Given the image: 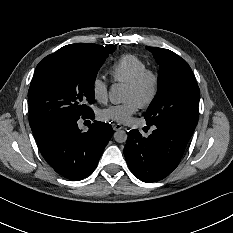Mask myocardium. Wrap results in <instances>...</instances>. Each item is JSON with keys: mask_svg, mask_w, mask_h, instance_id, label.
Segmentation results:
<instances>
[{"mask_svg": "<svg viewBox=\"0 0 233 233\" xmlns=\"http://www.w3.org/2000/svg\"><path fill=\"white\" fill-rule=\"evenodd\" d=\"M147 80H150L151 84L149 93L141 104L143 107L150 105L158 94L160 85L159 73L155 69L146 67L126 84L127 88L137 90L140 89Z\"/></svg>", "mask_w": 233, "mask_h": 233, "instance_id": "myocardium-1", "label": "myocardium"}]
</instances>
